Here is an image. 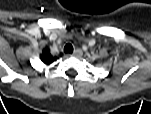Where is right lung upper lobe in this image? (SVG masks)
Wrapping results in <instances>:
<instances>
[{"label": "right lung upper lobe", "mask_w": 151, "mask_h": 114, "mask_svg": "<svg viewBox=\"0 0 151 114\" xmlns=\"http://www.w3.org/2000/svg\"><path fill=\"white\" fill-rule=\"evenodd\" d=\"M40 59L45 63V64H50L52 63L53 61L56 60V57H53L51 54H50V51L48 49H44L42 51V54L40 55Z\"/></svg>", "instance_id": "1"}]
</instances>
